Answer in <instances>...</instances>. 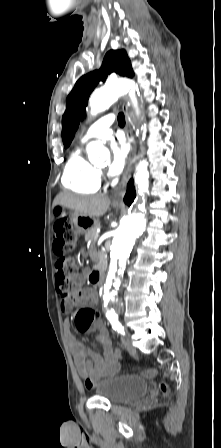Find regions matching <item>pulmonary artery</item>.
<instances>
[{"instance_id":"obj_1","label":"pulmonary artery","mask_w":221,"mask_h":448,"mask_svg":"<svg viewBox=\"0 0 221 448\" xmlns=\"http://www.w3.org/2000/svg\"><path fill=\"white\" fill-rule=\"evenodd\" d=\"M114 121V115L108 114L97 119L92 123L85 131L81 137L82 143H87L88 141L96 138L108 139L112 135L110 125Z\"/></svg>"}]
</instances>
